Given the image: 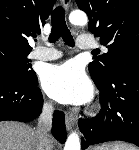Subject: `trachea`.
<instances>
[{
  "label": "trachea",
  "mask_w": 139,
  "mask_h": 150,
  "mask_svg": "<svg viewBox=\"0 0 139 150\" xmlns=\"http://www.w3.org/2000/svg\"><path fill=\"white\" fill-rule=\"evenodd\" d=\"M52 31L49 42L55 43L60 37L68 45L73 47L74 40L65 22V12L61 6L56 7L51 14Z\"/></svg>",
  "instance_id": "3493384b"
}]
</instances>
